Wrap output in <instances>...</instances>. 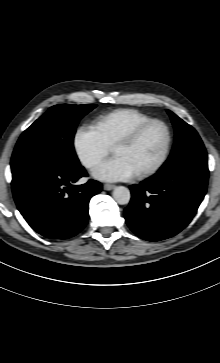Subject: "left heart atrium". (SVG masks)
Instances as JSON below:
<instances>
[{
    "label": "left heart atrium",
    "mask_w": 220,
    "mask_h": 363,
    "mask_svg": "<svg viewBox=\"0 0 220 363\" xmlns=\"http://www.w3.org/2000/svg\"><path fill=\"white\" fill-rule=\"evenodd\" d=\"M136 174L126 159L118 155L102 162L93 171V176L102 181L128 180Z\"/></svg>",
    "instance_id": "obj_1"
}]
</instances>
